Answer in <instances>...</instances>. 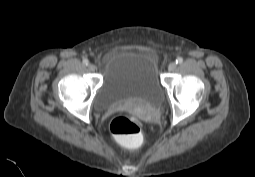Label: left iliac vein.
Instances as JSON below:
<instances>
[{
    "label": "left iliac vein",
    "mask_w": 255,
    "mask_h": 177,
    "mask_svg": "<svg viewBox=\"0 0 255 177\" xmlns=\"http://www.w3.org/2000/svg\"><path fill=\"white\" fill-rule=\"evenodd\" d=\"M176 63L175 62H171L169 65H168V70L169 71H174L175 68H176Z\"/></svg>",
    "instance_id": "1"
}]
</instances>
